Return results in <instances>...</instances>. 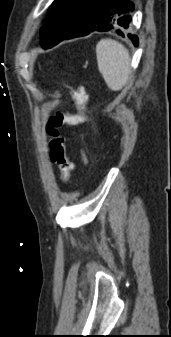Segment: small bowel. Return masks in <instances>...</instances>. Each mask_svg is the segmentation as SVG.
Returning <instances> with one entry per match:
<instances>
[{
	"label": "small bowel",
	"instance_id": "1",
	"mask_svg": "<svg viewBox=\"0 0 171 337\" xmlns=\"http://www.w3.org/2000/svg\"><path fill=\"white\" fill-rule=\"evenodd\" d=\"M80 154H81L82 161H83L84 163H86V162H87V159H86V156H85L84 152L81 151Z\"/></svg>",
	"mask_w": 171,
	"mask_h": 337
}]
</instances>
